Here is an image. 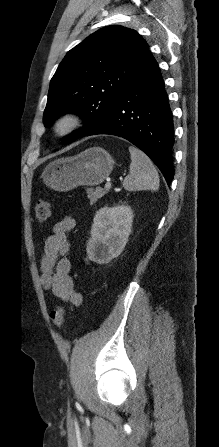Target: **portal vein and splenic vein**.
Segmentation results:
<instances>
[{
    "instance_id": "18ae733b",
    "label": "portal vein and splenic vein",
    "mask_w": 219,
    "mask_h": 447,
    "mask_svg": "<svg viewBox=\"0 0 219 447\" xmlns=\"http://www.w3.org/2000/svg\"><path fill=\"white\" fill-rule=\"evenodd\" d=\"M111 188V182L110 181H107L106 183H105V189H110Z\"/></svg>"
}]
</instances>
